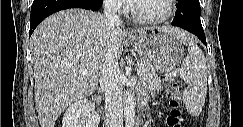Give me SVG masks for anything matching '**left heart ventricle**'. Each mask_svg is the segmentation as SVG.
<instances>
[{
    "mask_svg": "<svg viewBox=\"0 0 243 127\" xmlns=\"http://www.w3.org/2000/svg\"><path fill=\"white\" fill-rule=\"evenodd\" d=\"M135 8L141 16L155 17L164 14L167 6L165 0H139L135 2Z\"/></svg>",
    "mask_w": 243,
    "mask_h": 127,
    "instance_id": "obj_1",
    "label": "left heart ventricle"
}]
</instances>
